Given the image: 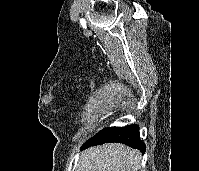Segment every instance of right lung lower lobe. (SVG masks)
Instances as JSON below:
<instances>
[{
	"instance_id": "98d812e1",
	"label": "right lung lower lobe",
	"mask_w": 199,
	"mask_h": 171,
	"mask_svg": "<svg viewBox=\"0 0 199 171\" xmlns=\"http://www.w3.org/2000/svg\"><path fill=\"white\" fill-rule=\"evenodd\" d=\"M113 142L126 144L135 149H139L142 153L146 150L145 144L140 140L138 125L105 128L86 141L82 149Z\"/></svg>"
}]
</instances>
